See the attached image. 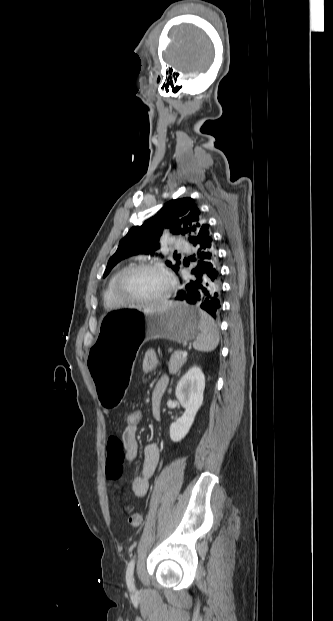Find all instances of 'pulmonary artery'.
Wrapping results in <instances>:
<instances>
[{
	"instance_id": "e3ab8cb5",
	"label": "pulmonary artery",
	"mask_w": 333,
	"mask_h": 621,
	"mask_svg": "<svg viewBox=\"0 0 333 621\" xmlns=\"http://www.w3.org/2000/svg\"><path fill=\"white\" fill-rule=\"evenodd\" d=\"M173 247L176 250L183 251V250L188 248V244L183 239H175L174 242H173Z\"/></svg>"
}]
</instances>
